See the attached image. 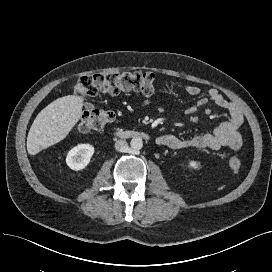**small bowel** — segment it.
Returning <instances> with one entry per match:
<instances>
[{
  "instance_id": "small-bowel-1",
  "label": "small bowel",
  "mask_w": 272,
  "mask_h": 272,
  "mask_svg": "<svg viewBox=\"0 0 272 272\" xmlns=\"http://www.w3.org/2000/svg\"><path fill=\"white\" fill-rule=\"evenodd\" d=\"M184 91L193 97H200L201 89L194 85H183ZM209 102L224 109L229 114V120L219 124L212 133L196 135L190 139H181L172 134H164L157 138L158 145L168 149L201 148L218 150L228 148L238 150L242 146L241 127L244 123V115L241 108L234 102L227 100L217 89H209L206 97H200L196 103L185 109V114L196 118L197 111ZM151 103V97L147 96L138 108Z\"/></svg>"
}]
</instances>
